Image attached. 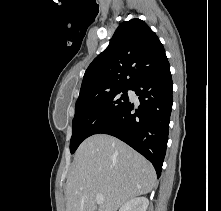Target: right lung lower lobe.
I'll list each match as a JSON object with an SVG mask.
<instances>
[{"label": "right lung lower lobe", "instance_id": "right-lung-lower-lobe-1", "mask_svg": "<svg viewBox=\"0 0 221 211\" xmlns=\"http://www.w3.org/2000/svg\"><path fill=\"white\" fill-rule=\"evenodd\" d=\"M170 66L150 73L131 85L140 106L128 103L98 133L124 141L147 158L160 177L166 154L173 103Z\"/></svg>", "mask_w": 221, "mask_h": 211}]
</instances>
